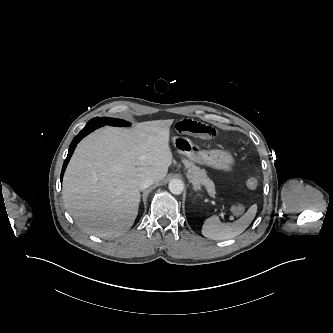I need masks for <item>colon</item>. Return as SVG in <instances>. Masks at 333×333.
Masks as SVG:
<instances>
[{
    "label": "colon",
    "instance_id": "1",
    "mask_svg": "<svg viewBox=\"0 0 333 333\" xmlns=\"http://www.w3.org/2000/svg\"><path fill=\"white\" fill-rule=\"evenodd\" d=\"M246 186L249 190H255L258 187L257 179H255L253 177L248 178L246 181ZM244 210H245V206L240 203L233 205V207L231 209L232 214L235 217L241 216L244 213Z\"/></svg>",
    "mask_w": 333,
    "mask_h": 333
}]
</instances>
